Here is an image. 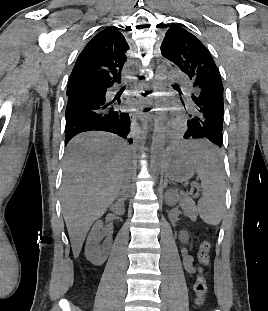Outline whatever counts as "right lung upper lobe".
I'll return each mask as SVG.
<instances>
[{"label":"right lung upper lobe","instance_id":"1","mask_svg":"<svg viewBox=\"0 0 268 311\" xmlns=\"http://www.w3.org/2000/svg\"><path fill=\"white\" fill-rule=\"evenodd\" d=\"M128 49V43L116 27L102 30L78 56L67 88L78 84L98 86L121 79Z\"/></svg>","mask_w":268,"mask_h":311}]
</instances>
